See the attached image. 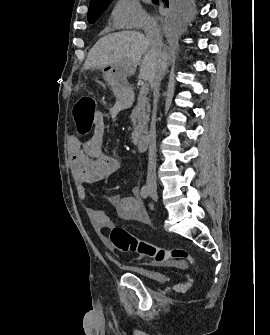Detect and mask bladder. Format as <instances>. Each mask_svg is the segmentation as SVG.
<instances>
[{
	"label": "bladder",
	"mask_w": 270,
	"mask_h": 335,
	"mask_svg": "<svg viewBox=\"0 0 270 335\" xmlns=\"http://www.w3.org/2000/svg\"><path fill=\"white\" fill-rule=\"evenodd\" d=\"M143 278L146 280V281H156V282H163V281H166L167 280V275L160 271V272H151V271H141L139 272Z\"/></svg>",
	"instance_id": "1"
}]
</instances>
